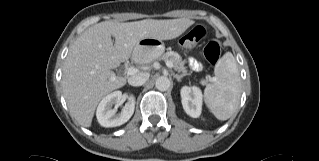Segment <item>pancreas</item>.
I'll list each match as a JSON object with an SVG mask.
<instances>
[{"label": "pancreas", "instance_id": "cf45deb5", "mask_svg": "<svg viewBox=\"0 0 319 161\" xmlns=\"http://www.w3.org/2000/svg\"><path fill=\"white\" fill-rule=\"evenodd\" d=\"M162 59L172 62L173 67L177 72H182L183 74L187 75L185 61H183L180 55H178L176 52H168L163 55Z\"/></svg>", "mask_w": 319, "mask_h": 161}]
</instances>
